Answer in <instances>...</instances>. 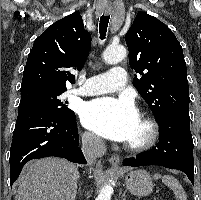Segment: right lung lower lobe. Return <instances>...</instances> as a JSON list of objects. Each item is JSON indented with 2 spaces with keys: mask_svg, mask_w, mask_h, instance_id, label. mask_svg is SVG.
<instances>
[{
  "mask_svg": "<svg viewBox=\"0 0 201 200\" xmlns=\"http://www.w3.org/2000/svg\"><path fill=\"white\" fill-rule=\"evenodd\" d=\"M78 145L75 114L62 116L35 110L18 115L9 158L11 186L25 163L32 159L57 156L75 163H87Z\"/></svg>",
  "mask_w": 201,
  "mask_h": 200,
  "instance_id": "1",
  "label": "right lung lower lobe"
}]
</instances>
